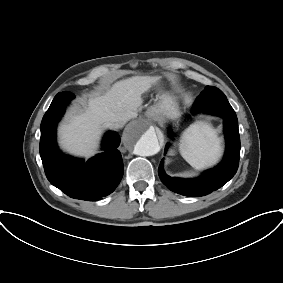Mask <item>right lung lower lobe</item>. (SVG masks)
I'll return each instance as SVG.
<instances>
[{
	"label": "right lung lower lobe",
	"mask_w": 283,
	"mask_h": 283,
	"mask_svg": "<svg viewBox=\"0 0 283 283\" xmlns=\"http://www.w3.org/2000/svg\"><path fill=\"white\" fill-rule=\"evenodd\" d=\"M74 95L58 93L41 122L40 156L49 182L66 195L86 201H96L112 193L123 176V161L117 133L106 134L103 147L107 152L86 163L62 154L56 145V126L67 102Z\"/></svg>",
	"instance_id": "98d812e1"
}]
</instances>
